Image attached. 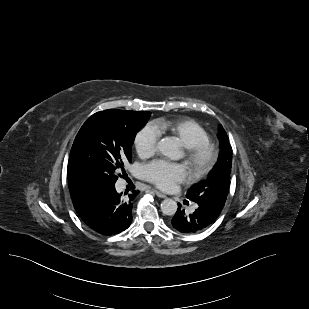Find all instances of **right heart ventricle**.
<instances>
[{
	"label": "right heart ventricle",
	"instance_id": "1",
	"mask_svg": "<svg viewBox=\"0 0 309 309\" xmlns=\"http://www.w3.org/2000/svg\"><path fill=\"white\" fill-rule=\"evenodd\" d=\"M157 125L177 136L185 146L210 140L204 127L193 119L160 120Z\"/></svg>",
	"mask_w": 309,
	"mask_h": 309
}]
</instances>
